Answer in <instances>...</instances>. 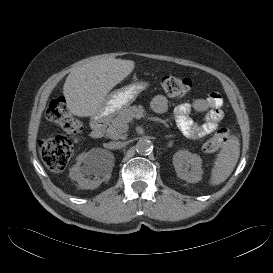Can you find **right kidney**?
Here are the masks:
<instances>
[{
  "instance_id": "right-kidney-1",
  "label": "right kidney",
  "mask_w": 273,
  "mask_h": 273,
  "mask_svg": "<svg viewBox=\"0 0 273 273\" xmlns=\"http://www.w3.org/2000/svg\"><path fill=\"white\" fill-rule=\"evenodd\" d=\"M113 158L96 160L93 153H87L78 157L77 163L70 170V177L77 181L79 186L84 189H95L99 186L100 177L104 180L111 175ZM94 175L98 180H89L85 176Z\"/></svg>"
}]
</instances>
